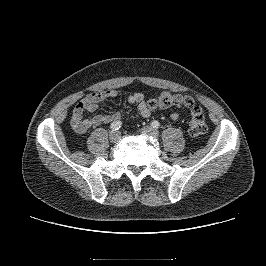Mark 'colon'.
Returning a JSON list of instances; mask_svg holds the SVG:
<instances>
[{
  "label": "colon",
  "mask_w": 266,
  "mask_h": 266,
  "mask_svg": "<svg viewBox=\"0 0 266 266\" xmlns=\"http://www.w3.org/2000/svg\"><path fill=\"white\" fill-rule=\"evenodd\" d=\"M152 107L184 106L190 110L189 134L199 137L206 133L207 123L201 107L193 98L180 94L162 93L149 101Z\"/></svg>",
  "instance_id": "5ec220e1"
}]
</instances>
